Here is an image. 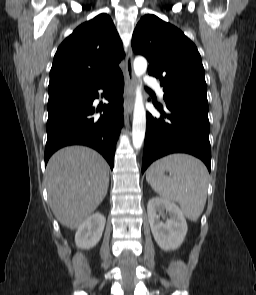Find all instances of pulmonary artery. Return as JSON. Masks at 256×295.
Instances as JSON below:
<instances>
[{
    "instance_id": "e3ab8cb5",
    "label": "pulmonary artery",
    "mask_w": 256,
    "mask_h": 295,
    "mask_svg": "<svg viewBox=\"0 0 256 295\" xmlns=\"http://www.w3.org/2000/svg\"><path fill=\"white\" fill-rule=\"evenodd\" d=\"M144 81L147 85L155 88L158 91L159 96L163 98L164 91L159 82L155 78H153L152 76H146Z\"/></svg>"
}]
</instances>
